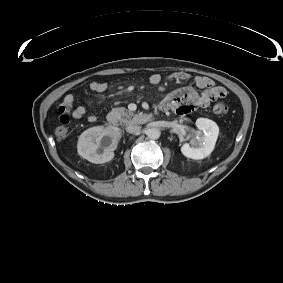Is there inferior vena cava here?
<instances>
[{"label":"inferior vena cava","instance_id":"1","mask_svg":"<svg viewBox=\"0 0 283 283\" xmlns=\"http://www.w3.org/2000/svg\"><path fill=\"white\" fill-rule=\"evenodd\" d=\"M141 127L139 125H133V124H129L127 127H126V131L128 133H135V132H138L140 131Z\"/></svg>","mask_w":283,"mask_h":283}]
</instances>
